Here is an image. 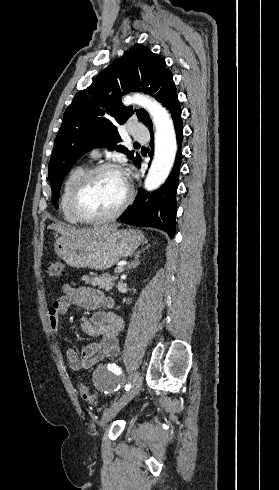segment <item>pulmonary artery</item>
<instances>
[{"label": "pulmonary artery", "instance_id": "e3ab8cb5", "mask_svg": "<svg viewBox=\"0 0 279 490\" xmlns=\"http://www.w3.org/2000/svg\"><path fill=\"white\" fill-rule=\"evenodd\" d=\"M127 128L130 133H133V137L135 138V140H146V138L150 134L149 129L143 128V125L140 122H131L129 125H127ZM90 157H99V151L97 149H93L90 152Z\"/></svg>", "mask_w": 279, "mask_h": 490}]
</instances>
